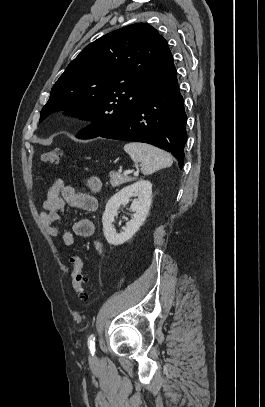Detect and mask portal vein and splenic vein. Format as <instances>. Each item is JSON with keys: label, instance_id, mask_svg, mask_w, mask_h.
Instances as JSON below:
<instances>
[{"label": "portal vein and splenic vein", "instance_id": "portal-vein-and-splenic-vein-1", "mask_svg": "<svg viewBox=\"0 0 265 407\" xmlns=\"http://www.w3.org/2000/svg\"><path fill=\"white\" fill-rule=\"evenodd\" d=\"M133 172H134V170H127V171L124 172V174H130V173H133Z\"/></svg>", "mask_w": 265, "mask_h": 407}]
</instances>
